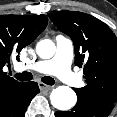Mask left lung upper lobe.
<instances>
[{
    "instance_id": "5c2ea615",
    "label": "left lung upper lobe",
    "mask_w": 117,
    "mask_h": 117,
    "mask_svg": "<svg viewBox=\"0 0 117 117\" xmlns=\"http://www.w3.org/2000/svg\"><path fill=\"white\" fill-rule=\"evenodd\" d=\"M56 27L74 44L75 64L83 67L86 85L77 95L115 103L117 100V37L99 19L82 12L48 14Z\"/></svg>"
}]
</instances>
